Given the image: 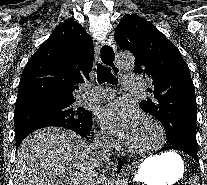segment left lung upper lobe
I'll return each instance as SVG.
<instances>
[{"label": "left lung upper lobe", "instance_id": "1", "mask_svg": "<svg viewBox=\"0 0 207 185\" xmlns=\"http://www.w3.org/2000/svg\"><path fill=\"white\" fill-rule=\"evenodd\" d=\"M115 41L135 56L134 71L152 79L154 95L140 107L164 126L167 143H183L197 151L196 98L189 68L178 48L152 23L126 14L118 24Z\"/></svg>", "mask_w": 207, "mask_h": 185}]
</instances>
